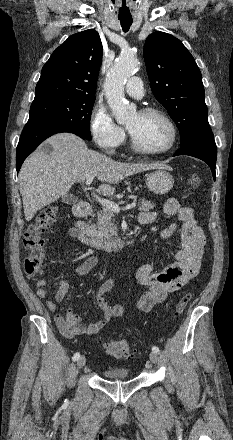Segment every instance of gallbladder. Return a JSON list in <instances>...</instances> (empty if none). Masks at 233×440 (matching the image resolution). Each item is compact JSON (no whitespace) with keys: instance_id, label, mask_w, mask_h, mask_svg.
I'll use <instances>...</instances> for the list:
<instances>
[{"instance_id":"obj_1","label":"gallbladder","mask_w":233,"mask_h":440,"mask_svg":"<svg viewBox=\"0 0 233 440\" xmlns=\"http://www.w3.org/2000/svg\"><path fill=\"white\" fill-rule=\"evenodd\" d=\"M62 200L67 204H75L77 202V197L72 194H66L62 196Z\"/></svg>"}]
</instances>
